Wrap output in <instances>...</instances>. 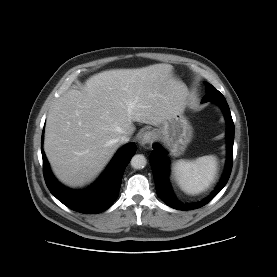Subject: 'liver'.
<instances>
[{"mask_svg":"<svg viewBox=\"0 0 277 277\" xmlns=\"http://www.w3.org/2000/svg\"><path fill=\"white\" fill-rule=\"evenodd\" d=\"M187 96L170 64L91 76L82 91H67L49 111L44 151L54 174L71 187L91 182L119 148L117 138L134 133L133 122L159 126L184 109Z\"/></svg>","mask_w":277,"mask_h":277,"instance_id":"1","label":"liver"}]
</instances>
